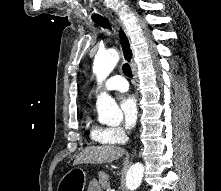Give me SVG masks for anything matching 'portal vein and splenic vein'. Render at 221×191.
<instances>
[{"mask_svg":"<svg viewBox=\"0 0 221 191\" xmlns=\"http://www.w3.org/2000/svg\"><path fill=\"white\" fill-rule=\"evenodd\" d=\"M107 191H112L111 189H107Z\"/></svg>","mask_w":221,"mask_h":191,"instance_id":"18ae733b","label":"portal vein and splenic vein"}]
</instances>
